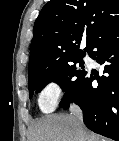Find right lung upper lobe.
<instances>
[{
  "label": "right lung upper lobe",
  "instance_id": "1",
  "mask_svg": "<svg viewBox=\"0 0 119 141\" xmlns=\"http://www.w3.org/2000/svg\"><path fill=\"white\" fill-rule=\"evenodd\" d=\"M118 19L119 0H50L34 24L28 75L84 56L104 27Z\"/></svg>",
  "mask_w": 119,
  "mask_h": 141
}]
</instances>
